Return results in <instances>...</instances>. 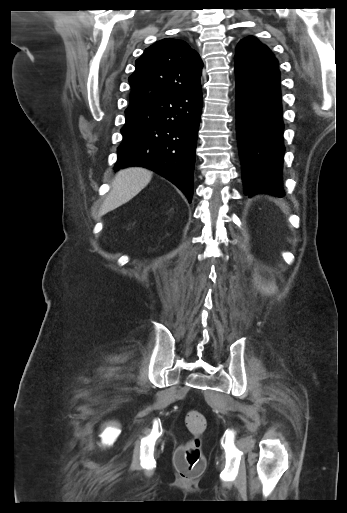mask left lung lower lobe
<instances>
[{
    "label": "left lung lower lobe",
    "mask_w": 347,
    "mask_h": 513,
    "mask_svg": "<svg viewBox=\"0 0 347 513\" xmlns=\"http://www.w3.org/2000/svg\"><path fill=\"white\" fill-rule=\"evenodd\" d=\"M236 120L245 192L283 197L284 156L278 67L236 61Z\"/></svg>",
    "instance_id": "0a47b994"
}]
</instances>
